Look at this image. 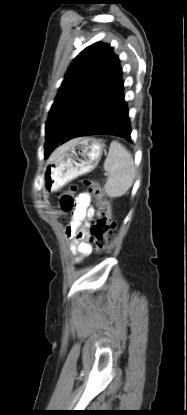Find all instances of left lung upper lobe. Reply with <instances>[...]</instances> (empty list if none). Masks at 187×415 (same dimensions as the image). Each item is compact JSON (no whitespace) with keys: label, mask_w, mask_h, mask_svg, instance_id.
I'll use <instances>...</instances> for the list:
<instances>
[{"label":"left lung upper lobe","mask_w":187,"mask_h":415,"mask_svg":"<svg viewBox=\"0 0 187 415\" xmlns=\"http://www.w3.org/2000/svg\"><path fill=\"white\" fill-rule=\"evenodd\" d=\"M112 55V47L95 43L71 63L46 123V158L75 123L93 114L97 101L90 98L91 89Z\"/></svg>","instance_id":"left-lung-upper-lobe-1"}]
</instances>
